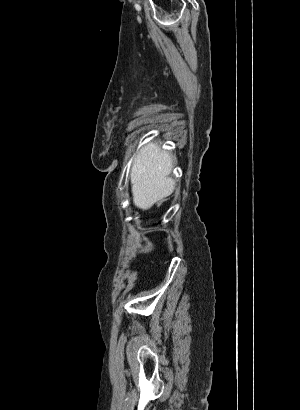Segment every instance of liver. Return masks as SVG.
<instances>
[{
    "instance_id": "1",
    "label": "liver",
    "mask_w": 300,
    "mask_h": 410,
    "mask_svg": "<svg viewBox=\"0 0 300 410\" xmlns=\"http://www.w3.org/2000/svg\"><path fill=\"white\" fill-rule=\"evenodd\" d=\"M172 169V155L163 151L157 142L144 146L136 155L131 170L134 205L147 210L170 196L175 188V181L169 177Z\"/></svg>"
}]
</instances>
